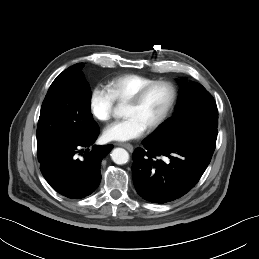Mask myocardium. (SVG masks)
<instances>
[{"label": "myocardium", "mask_w": 259, "mask_h": 259, "mask_svg": "<svg viewBox=\"0 0 259 259\" xmlns=\"http://www.w3.org/2000/svg\"><path fill=\"white\" fill-rule=\"evenodd\" d=\"M158 85H163V86L167 87L169 90V93H170V97H169V101H168L163 113L161 114V116L155 122H153L151 125H149L146 128V130L149 132L158 129L167 120V118L171 114V112L176 104V101H177L178 93H177L176 86L172 82L167 81V80H155V81L147 84L140 90H138L132 97H130L125 102L126 105H130V106L139 105L142 102V100L144 99V97L147 95V93L152 88H154L155 86H158Z\"/></svg>", "instance_id": "obj_1"}]
</instances>
